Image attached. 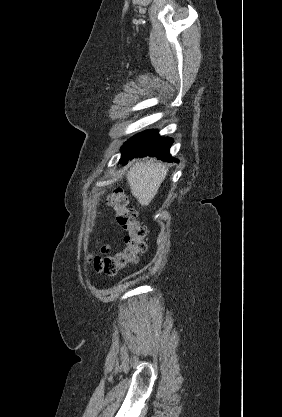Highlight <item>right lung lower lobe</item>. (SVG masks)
I'll return each instance as SVG.
<instances>
[{
    "label": "right lung lower lobe",
    "mask_w": 282,
    "mask_h": 417,
    "mask_svg": "<svg viewBox=\"0 0 282 417\" xmlns=\"http://www.w3.org/2000/svg\"><path fill=\"white\" fill-rule=\"evenodd\" d=\"M172 138L160 137L157 130H147L130 138L122 147L120 162L125 165L129 160L138 157L155 156L168 162H178L172 158L169 148Z\"/></svg>",
    "instance_id": "98d812e1"
}]
</instances>
